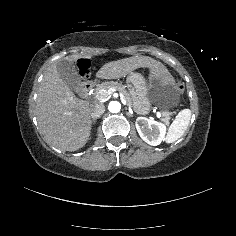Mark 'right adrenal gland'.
<instances>
[{
  "label": "right adrenal gland",
  "instance_id": "right-adrenal-gland-1",
  "mask_svg": "<svg viewBox=\"0 0 236 236\" xmlns=\"http://www.w3.org/2000/svg\"><path fill=\"white\" fill-rule=\"evenodd\" d=\"M96 121L95 120H93V124L95 123Z\"/></svg>",
  "mask_w": 236,
  "mask_h": 236
}]
</instances>
